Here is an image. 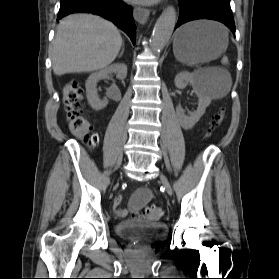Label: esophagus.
<instances>
[{
  "instance_id": "obj_1",
  "label": "esophagus",
  "mask_w": 279,
  "mask_h": 279,
  "mask_svg": "<svg viewBox=\"0 0 279 279\" xmlns=\"http://www.w3.org/2000/svg\"><path fill=\"white\" fill-rule=\"evenodd\" d=\"M150 10L145 7L135 6L133 8V16L140 24H145L148 20Z\"/></svg>"
}]
</instances>
